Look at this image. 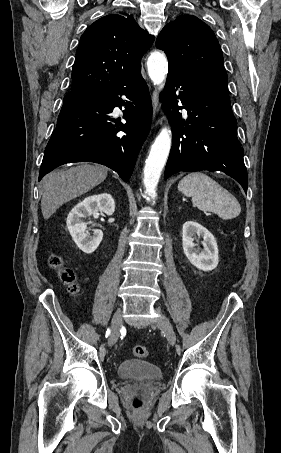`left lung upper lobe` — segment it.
Returning <instances> with one entry per match:
<instances>
[{"mask_svg": "<svg viewBox=\"0 0 281 453\" xmlns=\"http://www.w3.org/2000/svg\"><path fill=\"white\" fill-rule=\"evenodd\" d=\"M156 47L165 51L169 70L192 81L227 83L221 47L213 31L193 15L179 16L160 32Z\"/></svg>", "mask_w": 281, "mask_h": 453, "instance_id": "left-lung-upper-lobe-1", "label": "left lung upper lobe"}]
</instances>
